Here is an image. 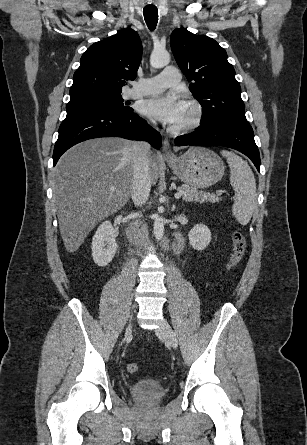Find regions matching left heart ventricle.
<instances>
[{"label":"left heart ventricle","instance_id":"obj_1","mask_svg":"<svg viewBox=\"0 0 307 445\" xmlns=\"http://www.w3.org/2000/svg\"><path fill=\"white\" fill-rule=\"evenodd\" d=\"M189 117H190V109L187 108V111H186L184 117H183L180 121H178L175 125H180V124H182V123L185 122Z\"/></svg>","mask_w":307,"mask_h":445}]
</instances>
